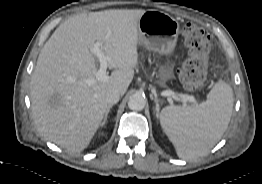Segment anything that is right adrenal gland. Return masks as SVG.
Masks as SVG:
<instances>
[{"label": "right adrenal gland", "instance_id": "obj_1", "mask_svg": "<svg viewBox=\"0 0 262 184\" xmlns=\"http://www.w3.org/2000/svg\"><path fill=\"white\" fill-rule=\"evenodd\" d=\"M112 106L113 105H109L108 107H107V110H106V113H105V116H104V120H103V122H102V126L107 122V118H108V114H109V111H110V109L112 108Z\"/></svg>", "mask_w": 262, "mask_h": 184}]
</instances>
